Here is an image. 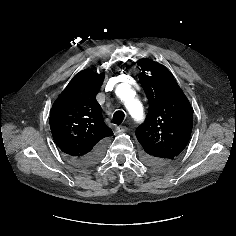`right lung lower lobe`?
I'll return each mask as SVG.
<instances>
[{
	"mask_svg": "<svg viewBox=\"0 0 236 236\" xmlns=\"http://www.w3.org/2000/svg\"><path fill=\"white\" fill-rule=\"evenodd\" d=\"M105 148L106 144L105 140H103L100 143H98L89 153L83 156L79 157L67 156V157L73 164L77 166L88 167L98 163L102 159L105 153Z\"/></svg>",
	"mask_w": 236,
	"mask_h": 236,
	"instance_id": "right-lung-lower-lobe-1",
	"label": "right lung lower lobe"
}]
</instances>
